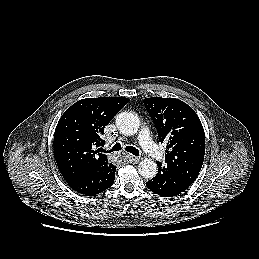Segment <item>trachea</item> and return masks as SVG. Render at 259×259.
Wrapping results in <instances>:
<instances>
[{
  "mask_svg": "<svg viewBox=\"0 0 259 259\" xmlns=\"http://www.w3.org/2000/svg\"><path fill=\"white\" fill-rule=\"evenodd\" d=\"M122 149V146L120 143H116L110 150L108 151H105L104 152H114V151H120ZM125 150L135 156H139V151L135 148V147H132V146H127L125 147Z\"/></svg>",
  "mask_w": 259,
  "mask_h": 259,
  "instance_id": "1",
  "label": "trachea"
}]
</instances>
